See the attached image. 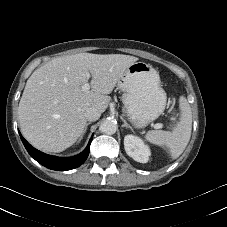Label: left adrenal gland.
I'll use <instances>...</instances> for the list:
<instances>
[{
  "label": "left adrenal gland",
  "mask_w": 227,
  "mask_h": 227,
  "mask_svg": "<svg viewBox=\"0 0 227 227\" xmlns=\"http://www.w3.org/2000/svg\"><path fill=\"white\" fill-rule=\"evenodd\" d=\"M121 120L124 122V124L122 125V127L130 128L132 130V127L126 122V120L124 118L121 117Z\"/></svg>",
  "instance_id": "left-adrenal-gland-1"
}]
</instances>
